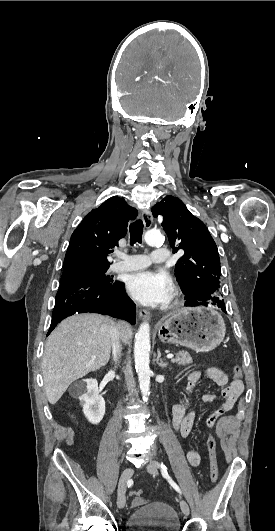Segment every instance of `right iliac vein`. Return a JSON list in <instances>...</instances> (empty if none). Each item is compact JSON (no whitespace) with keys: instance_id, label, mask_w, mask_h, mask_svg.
<instances>
[{"instance_id":"right-iliac-vein-1","label":"right iliac vein","mask_w":275,"mask_h":531,"mask_svg":"<svg viewBox=\"0 0 275 531\" xmlns=\"http://www.w3.org/2000/svg\"><path fill=\"white\" fill-rule=\"evenodd\" d=\"M134 473V470L130 467H127L124 469V471L121 474V477L119 479V485H118V497H117V505L120 509H122L125 506L126 503V497H125V490L126 485L128 481L131 479L132 475Z\"/></svg>"}]
</instances>
